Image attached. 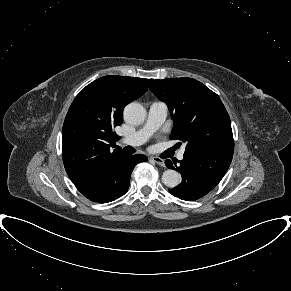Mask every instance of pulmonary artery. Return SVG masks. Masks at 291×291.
<instances>
[{"instance_id":"1","label":"pulmonary artery","mask_w":291,"mask_h":291,"mask_svg":"<svg viewBox=\"0 0 291 291\" xmlns=\"http://www.w3.org/2000/svg\"><path fill=\"white\" fill-rule=\"evenodd\" d=\"M168 113V106L162 101H154L150 104L147 120L144 126L135 133L120 139V143L130 146L143 144L164 123ZM185 150L178 152V159L184 158Z\"/></svg>"}]
</instances>
